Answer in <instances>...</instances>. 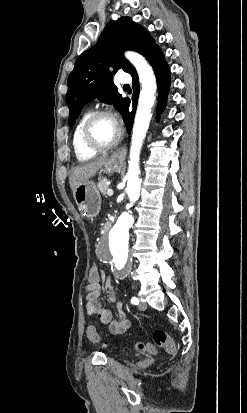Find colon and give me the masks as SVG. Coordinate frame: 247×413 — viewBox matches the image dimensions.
I'll return each mask as SVG.
<instances>
[{
    "instance_id": "5ec220e1",
    "label": "colon",
    "mask_w": 247,
    "mask_h": 413,
    "mask_svg": "<svg viewBox=\"0 0 247 413\" xmlns=\"http://www.w3.org/2000/svg\"><path fill=\"white\" fill-rule=\"evenodd\" d=\"M101 279V275L96 274V263L92 265V269L88 270V283L95 285ZM86 337L93 343H99L100 337L95 326L88 325L85 329ZM152 341L156 342L155 346L150 343H137L135 347L139 350L145 351L147 354H152L156 347H161L166 355H177L179 349L174 340L170 339V335L163 330H154L152 334Z\"/></svg>"
}]
</instances>
